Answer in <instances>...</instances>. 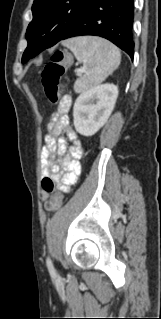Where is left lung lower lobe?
Returning a JSON list of instances; mask_svg holds the SVG:
<instances>
[{
    "label": "left lung lower lobe",
    "instance_id": "obj_1",
    "mask_svg": "<svg viewBox=\"0 0 161 319\" xmlns=\"http://www.w3.org/2000/svg\"><path fill=\"white\" fill-rule=\"evenodd\" d=\"M133 2L134 0H94L61 40L82 35L100 36L113 42L133 59ZM33 43L29 41L28 46ZM35 47L26 62L37 55L38 49L34 51Z\"/></svg>",
    "mask_w": 161,
    "mask_h": 319
}]
</instances>
